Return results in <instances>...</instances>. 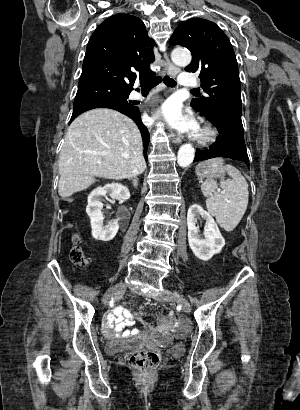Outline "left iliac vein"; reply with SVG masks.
Returning <instances> with one entry per match:
<instances>
[{
    "mask_svg": "<svg viewBox=\"0 0 300 410\" xmlns=\"http://www.w3.org/2000/svg\"><path fill=\"white\" fill-rule=\"evenodd\" d=\"M157 301H176L182 306L185 312L191 311L190 303L183 297L175 296L171 291L164 289L158 296L155 297Z\"/></svg>",
    "mask_w": 300,
    "mask_h": 410,
    "instance_id": "obj_1",
    "label": "left iliac vein"
}]
</instances>
